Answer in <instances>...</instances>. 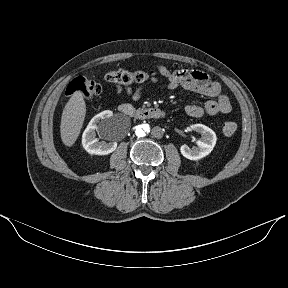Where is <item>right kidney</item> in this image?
<instances>
[{
	"label": "right kidney",
	"mask_w": 288,
	"mask_h": 288,
	"mask_svg": "<svg viewBox=\"0 0 288 288\" xmlns=\"http://www.w3.org/2000/svg\"><path fill=\"white\" fill-rule=\"evenodd\" d=\"M111 115L112 112L110 111H104L100 114H97L91 119L87 128L85 129L82 135V145L89 154L107 155L112 153L116 149V142H100L99 139L96 138V132L99 135L105 134L104 122Z\"/></svg>",
	"instance_id": "right-kidney-1"
}]
</instances>
